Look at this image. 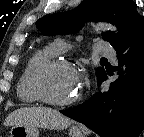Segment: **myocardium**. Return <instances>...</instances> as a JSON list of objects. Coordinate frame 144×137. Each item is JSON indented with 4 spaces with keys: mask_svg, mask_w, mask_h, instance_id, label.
<instances>
[{
    "mask_svg": "<svg viewBox=\"0 0 144 137\" xmlns=\"http://www.w3.org/2000/svg\"><path fill=\"white\" fill-rule=\"evenodd\" d=\"M57 68H66L76 72V68L72 63L61 59H49L37 65L31 73L30 76V89L34 96L41 102L55 106V107H65L75 104L80 99V94L77 93L73 98L69 100L59 101L55 100L47 95L43 87L44 76Z\"/></svg>",
    "mask_w": 144,
    "mask_h": 137,
    "instance_id": "f54148a6",
    "label": "myocardium"
}]
</instances>
